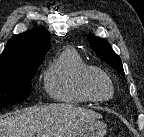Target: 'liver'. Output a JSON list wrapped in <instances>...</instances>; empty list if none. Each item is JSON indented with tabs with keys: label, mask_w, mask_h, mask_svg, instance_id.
<instances>
[{
	"label": "liver",
	"mask_w": 144,
	"mask_h": 137,
	"mask_svg": "<svg viewBox=\"0 0 144 137\" xmlns=\"http://www.w3.org/2000/svg\"><path fill=\"white\" fill-rule=\"evenodd\" d=\"M102 115L70 104L28 107L0 117V137H70Z\"/></svg>",
	"instance_id": "6515ba94"
}]
</instances>
